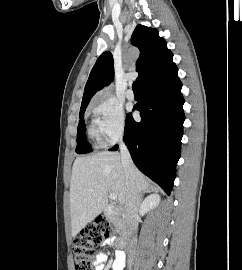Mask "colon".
<instances>
[{
    "label": "colon",
    "mask_w": 242,
    "mask_h": 270,
    "mask_svg": "<svg viewBox=\"0 0 242 270\" xmlns=\"http://www.w3.org/2000/svg\"><path fill=\"white\" fill-rule=\"evenodd\" d=\"M114 233L112 224L105 218H98L93 224L84 227L73 241L76 257L75 270H94L92 255L97 245Z\"/></svg>",
    "instance_id": "obj_1"
}]
</instances>
